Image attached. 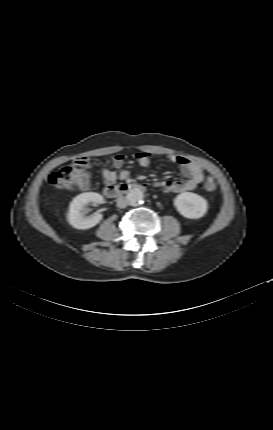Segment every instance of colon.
<instances>
[{
    "mask_svg": "<svg viewBox=\"0 0 273 430\" xmlns=\"http://www.w3.org/2000/svg\"><path fill=\"white\" fill-rule=\"evenodd\" d=\"M77 159L73 164L62 167L49 176V183L59 190L86 189L90 182L88 164H81V159ZM86 159V158H85ZM204 188L208 192H213L217 188V183L212 177H208L204 183Z\"/></svg>",
    "mask_w": 273,
    "mask_h": 430,
    "instance_id": "1",
    "label": "colon"
}]
</instances>
